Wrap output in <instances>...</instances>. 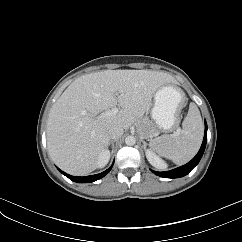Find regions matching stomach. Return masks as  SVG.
Here are the masks:
<instances>
[{"instance_id": "1", "label": "stomach", "mask_w": 242, "mask_h": 242, "mask_svg": "<svg viewBox=\"0 0 242 242\" xmlns=\"http://www.w3.org/2000/svg\"><path fill=\"white\" fill-rule=\"evenodd\" d=\"M185 100L183 91L170 83L156 91L151 116L159 131L169 132L178 127Z\"/></svg>"}]
</instances>
